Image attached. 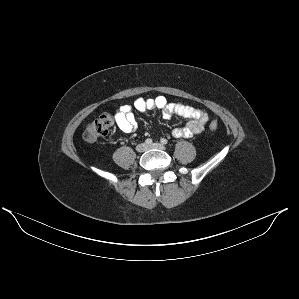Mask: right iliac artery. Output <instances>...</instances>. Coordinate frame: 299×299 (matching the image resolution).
<instances>
[{"instance_id": "obj_1", "label": "right iliac artery", "mask_w": 299, "mask_h": 299, "mask_svg": "<svg viewBox=\"0 0 299 299\" xmlns=\"http://www.w3.org/2000/svg\"><path fill=\"white\" fill-rule=\"evenodd\" d=\"M152 139H150V138H148V139H146L145 140V143L147 144V145H150V144H152Z\"/></svg>"}]
</instances>
